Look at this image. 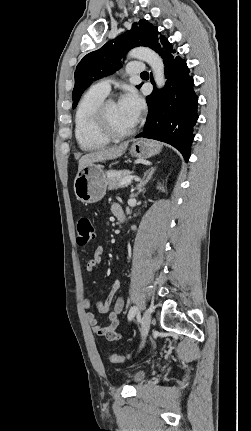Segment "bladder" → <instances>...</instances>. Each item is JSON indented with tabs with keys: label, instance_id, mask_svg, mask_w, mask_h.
Masks as SVG:
<instances>
[{
	"label": "bladder",
	"instance_id": "31cf9c89",
	"mask_svg": "<svg viewBox=\"0 0 251 431\" xmlns=\"http://www.w3.org/2000/svg\"><path fill=\"white\" fill-rule=\"evenodd\" d=\"M131 380L135 383H139L146 377V373L143 371H136L131 374Z\"/></svg>",
	"mask_w": 251,
	"mask_h": 431
}]
</instances>
